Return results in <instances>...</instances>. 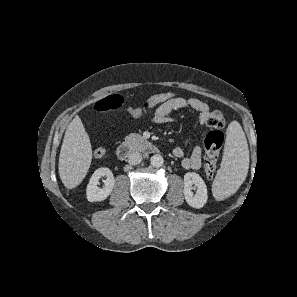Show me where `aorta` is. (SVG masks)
<instances>
[{
  "label": "aorta",
  "instance_id": "obj_1",
  "mask_svg": "<svg viewBox=\"0 0 297 297\" xmlns=\"http://www.w3.org/2000/svg\"><path fill=\"white\" fill-rule=\"evenodd\" d=\"M150 163L153 167H161L164 163V160L161 155L156 154L151 157Z\"/></svg>",
  "mask_w": 297,
  "mask_h": 297
}]
</instances>
